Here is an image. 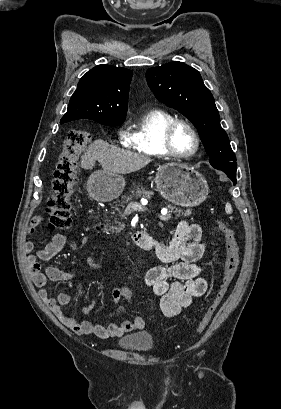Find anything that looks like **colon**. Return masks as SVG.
<instances>
[{"mask_svg":"<svg viewBox=\"0 0 281 409\" xmlns=\"http://www.w3.org/2000/svg\"><path fill=\"white\" fill-rule=\"evenodd\" d=\"M90 140V133L80 128L72 129L66 135L64 148L58 155L55 181L46 208L49 216L48 225L51 229H64L70 223L74 207V191L78 182L76 161L89 145ZM218 228L223 235L227 251L226 261L213 299L197 321V332L203 331L212 320L233 282L239 264L240 248L235 232L223 221L218 223Z\"/></svg>","mask_w":281,"mask_h":409,"instance_id":"obj_1","label":"colon"}]
</instances>
